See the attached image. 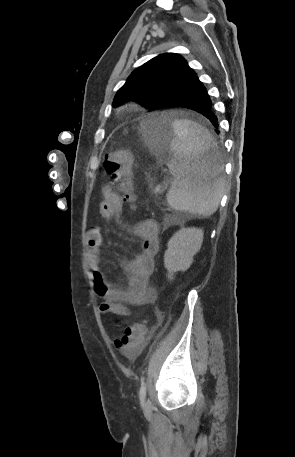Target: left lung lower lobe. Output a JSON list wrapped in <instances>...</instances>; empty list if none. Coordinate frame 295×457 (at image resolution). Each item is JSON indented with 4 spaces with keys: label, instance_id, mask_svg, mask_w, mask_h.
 <instances>
[{
    "label": "left lung lower lobe",
    "instance_id": "obj_1",
    "mask_svg": "<svg viewBox=\"0 0 295 457\" xmlns=\"http://www.w3.org/2000/svg\"><path fill=\"white\" fill-rule=\"evenodd\" d=\"M190 84L172 97L160 102L157 109L166 107H184L204 115L215 128L219 127L211 99L206 88L192 70L188 75ZM209 163H213L211 160Z\"/></svg>",
    "mask_w": 295,
    "mask_h": 457
}]
</instances>
